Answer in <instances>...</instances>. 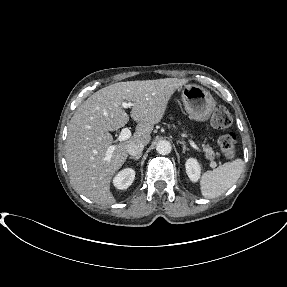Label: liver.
<instances>
[{"label": "liver", "instance_id": "6515ba94", "mask_svg": "<svg viewBox=\"0 0 287 287\" xmlns=\"http://www.w3.org/2000/svg\"><path fill=\"white\" fill-rule=\"evenodd\" d=\"M187 82L177 78L118 82L92 94L68 124L65 158L74 189L98 205L114 204L110 183L126 161L130 144L150 142L153 126L163 118L171 96ZM123 101L132 102L130 115L138 124L131 138L114 144L109 131L129 121ZM110 146L115 150L108 156Z\"/></svg>", "mask_w": 287, "mask_h": 287}]
</instances>
